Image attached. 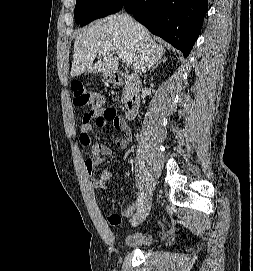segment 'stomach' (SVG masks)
I'll return each instance as SVG.
<instances>
[{"label": "stomach", "mask_w": 253, "mask_h": 271, "mask_svg": "<svg viewBox=\"0 0 253 271\" xmlns=\"http://www.w3.org/2000/svg\"><path fill=\"white\" fill-rule=\"evenodd\" d=\"M105 77L109 79V78H110V75H108V74H105Z\"/></svg>", "instance_id": "obj_1"}]
</instances>
